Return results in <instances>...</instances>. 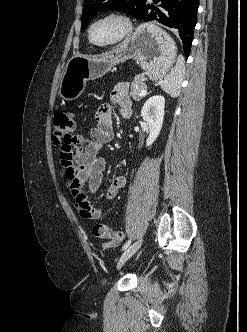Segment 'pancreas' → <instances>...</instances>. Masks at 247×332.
<instances>
[{
  "instance_id": "1",
  "label": "pancreas",
  "mask_w": 247,
  "mask_h": 332,
  "mask_svg": "<svg viewBox=\"0 0 247 332\" xmlns=\"http://www.w3.org/2000/svg\"><path fill=\"white\" fill-rule=\"evenodd\" d=\"M146 88H147V86L143 82V77L141 75H138L135 77L134 81L131 83L130 96L134 100H136L140 97L139 93L142 90H145Z\"/></svg>"
}]
</instances>
